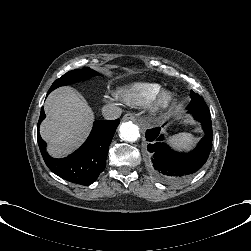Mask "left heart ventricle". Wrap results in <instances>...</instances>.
Listing matches in <instances>:
<instances>
[{"label": "left heart ventricle", "mask_w": 251, "mask_h": 251, "mask_svg": "<svg viewBox=\"0 0 251 251\" xmlns=\"http://www.w3.org/2000/svg\"><path fill=\"white\" fill-rule=\"evenodd\" d=\"M163 99H165V100L170 99V93H165V94L163 95Z\"/></svg>", "instance_id": "obj_1"}]
</instances>
